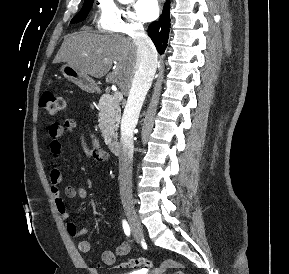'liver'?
Masks as SVG:
<instances>
[{
	"instance_id": "6515ba94",
	"label": "liver",
	"mask_w": 289,
	"mask_h": 274,
	"mask_svg": "<svg viewBox=\"0 0 289 274\" xmlns=\"http://www.w3.org/2000/svg\"><path fill=\"white\" fill-rule=\"evenodd\" d=\"M137 46L131 38L100 35L87 30L68 35L53 63L66 62L82 73L95 78L106 75V82L115 83L128 94L136 70ZM113 63L116 64L109 73Z\"/></svg>"
}]
</instances>
